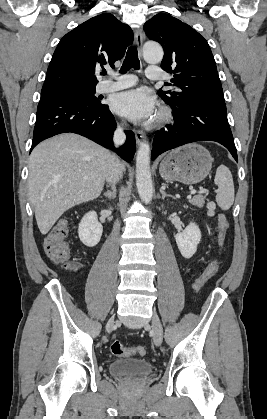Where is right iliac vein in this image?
I'll use <instances>...</instances> for the list:
<instances>
[{"instance_id":"63e3f726","label":"right iliac vein","mask_w":267,"mask_h":419,"mask_svg":"<svg viewBox=\"0 0 267 419\" xmlns=\"http://www.w3.org/2000/svg\"><path fill=\"white\" fill-rule=\"evenodd\" d=\"M115 324V319L111 318L108 323H107V330L110 332L112 330V328L114 327Z\"/></svg>"}]
</instances>
